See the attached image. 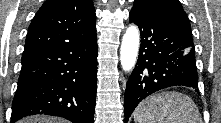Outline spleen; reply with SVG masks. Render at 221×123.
<instances>
[{
  "label": "spleen",
  "instance_id": "obj_1",
  "mask_svg": "<svg viewBox=\"0 0 221 123\" xmlns=\"http://www.w3.org/2000/svg\"><path fill=\"white\" fill-rule=\"evenodd\" d=\"M135 123H202L193 100L179 92H162L143 100L134 111Z\"/></svg>",
  "mask_w": 221,
  "mask_h": 123
}]
</instances>
